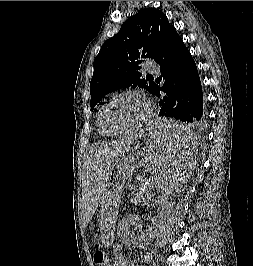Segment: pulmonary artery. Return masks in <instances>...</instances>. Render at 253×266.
<instances>
[{"label": "pulmonary artery", "instance_id": "pulmonary-artery-1", "mask_svg": "<svg viewBox=\"0 0 253 266\" xmlns=\"http://www.w3.org/2000/svg\"><path fill=\"white\" fill-rule=\"evenodd\" d=\"M147 69L149 72H154V73H157L159 71V68L155 65H148Z\"/></svg>", "mask_w": 253, "mask_h": 266}]
</instances>
